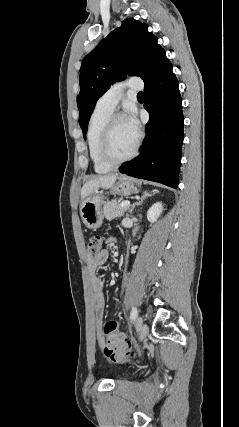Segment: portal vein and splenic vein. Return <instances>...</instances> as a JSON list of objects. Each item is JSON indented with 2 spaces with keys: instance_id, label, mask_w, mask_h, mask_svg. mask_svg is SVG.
<instances>
[{
  "instance_id": "18ae733b",
  "label": "portal vein and splenic vein",
  "mask_w": 239,
  "mask_h": 427,
  "mask_svg": "<svg viewBox=\"0 0 239 427\" xmlns=\"http://www.w3.org/2000/svg\"><path fill=\"white\" fill-rule=\"evenodd\" d=\"M119 206L120 207H128V206H130V202L129 201H123V202L120 203Z\"/></svg>"
}]
</instances>
